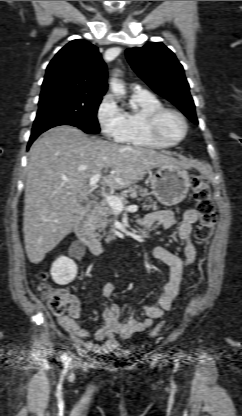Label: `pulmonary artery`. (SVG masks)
I'll use <instances>...</instances> for the list:
<instances>
[{"label": "pulmonary artery", "mask_w": 242, "mask_h": 416, "mask_svg": "<svg viewBox=\"0 0 242 416\" xmlns=\"http://www.w3.org/2000/svg\"><path fill=\"white\" fill-rule=\"evenodd\" d=\"M134 91H144V89L141 86H135Z\"/></svg>", "instance_id": "pulmonary-artery-1"}]
</instances>
